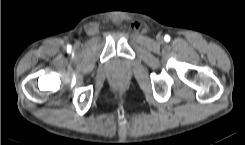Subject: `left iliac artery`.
I'll return each mask as SVG.
<instances>
[{"label": "left iliac artery", "instance_id": "1", "mask_svg": "<svg viewBox=\"0 0 245 145\" xmlns=\"http://www.w3.org/2000/svg\"><path fill=\"white\" fill-rule=\"evenodd\" d=\"M164 40H165L166 42L170 41V36H169V35H165Z\"/></svg>", "mask_w": 245, "mask_h": 145}]
</instances>
